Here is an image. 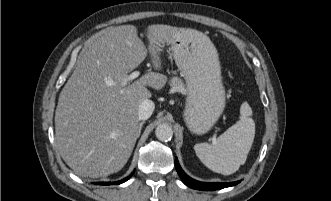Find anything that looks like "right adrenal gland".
I'll return each instance as SVG.
<instances>
[{"label":"right adrenal gland","mask_w":331,"mask_h":201,"mask_svg":"<svg viewBox=\"0 0 331 201\" xmlns=\"http://www.w3.org/2000/svg\"><path fill=\"white\" fill-rule=\"evenodd\" d=\"M144 121L140 123L139 131H141Z\"/></svg>","instance_id":"obj_1"}]
</instances>
